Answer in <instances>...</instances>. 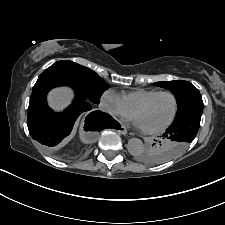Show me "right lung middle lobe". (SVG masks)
Instances as JSON below:
<instances>
[{
    "instance_id": "1",
    "label": "right lung middle lobe",
    "mask_w": 225,
    "mask_h": 225,
    "mask_svg": "<svg viewBox=\"0 0 225 225\" xmlns=\"http://www.w3.org/2000/svg\"><path fill=\"white\" fill-rule=\"evenodd\" d=\"M43 73H54L68 77L81 87L89 99L95 103L100 101L103 92L109 88V85L93 70L72 61L55 62Z\"/></svg>"
}]
</instances>
